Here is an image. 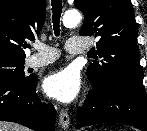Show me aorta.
Wrapping results in <instances>:
<instances>
[{
	"instance_id": "1",
	"label": "aorta",
	"mask_w": 147,
	"mask_h": 131,
	"mask_svg": "<svg viewBox=\"0 0 147 131\" xmlns=\"http://www.w3.org/2000/svg\"><path fill=\"white\" fill-rule=\"evenodd\" d=\"M80 20H81V15L76 10L66 11L63 16V24L64 26L69 28L77 26Z\"/></svg>"
}]
</instances>
